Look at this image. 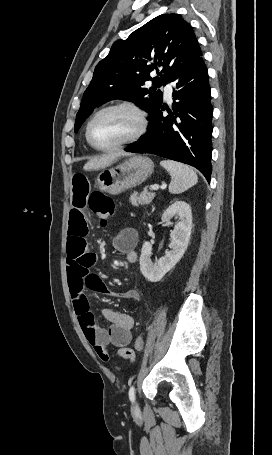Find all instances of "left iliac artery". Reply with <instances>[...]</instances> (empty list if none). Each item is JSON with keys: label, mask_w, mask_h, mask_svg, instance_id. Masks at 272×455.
I'll use <instances>...</instances> for the list:
<instances>
[{"label": "left iliac artery", "mask_w": 272, "mask_h": 455, "mask_svg": "<svg viewBox=\"0 0 272 455\" xmlns=\"http://www.w3.org/2000/svg\"><path fill=\"white\" fill-rule=\"evenodd\" d=\"M129 399L134 402L135 400V388L134 386H131L129 389Z\"/></svg>", "instance_id": "obj_1"}]
</instances>
